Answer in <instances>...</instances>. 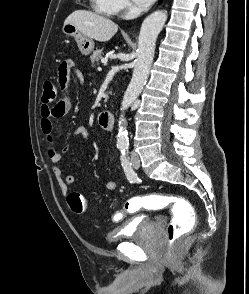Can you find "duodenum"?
<instances>
[{
    "label": "duodenum",
    "mask_w": 249,
    "mask_h": 294,
    "mask_svg": "<svg viewBox=\"0 0 249 294\" xmlns=\"http://www.w3.org/2000/svg\"><path fill=\"white\" fill-rule=\"evenodd\" d=\"M114 123V116L111 111H103L98 116V124L104 130H111Z\"/></svg>",
    "instance_id": "1"
}]
</instances>
